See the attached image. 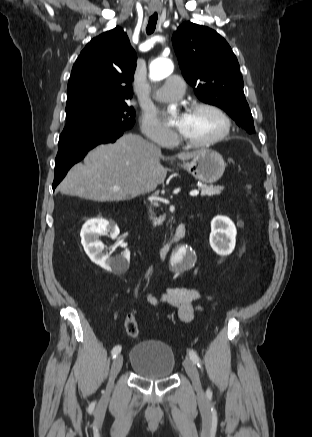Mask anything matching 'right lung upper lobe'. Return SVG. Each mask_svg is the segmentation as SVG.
Here are the masks:
<instances>
[{
  "instance_id": "1",
  "label": "right lung upper lobe",
  "mask_w": 312,
  "mask_h": 437,
  "mask_svg": "<svg viewBox=\"0 0 312 437\" xmlns=\"http://www.w3.org/2000/svg\"><path fill=\"white\" fill-rule=\"evenodd\" d=\"M136 59L127 34L119 27L92 39L73 65L66 107L131 99Z\"/></svg>"
}]
</instances>
